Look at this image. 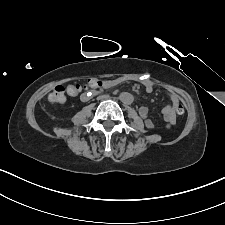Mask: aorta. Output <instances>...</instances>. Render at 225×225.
<instances>
[{
    "label": "aorta",
    "mask_w": 225,
    "mask_h": 225,
    "mask_svg": "<svg viewBox=\"0 0 225 225\" xmlns=\"http://www.w3.org/2000/svg\"><path fill=\"white\" fill-rule=\"evenodd\" d=\"M120 100L124 103V104H131L134 100V97L132 94L128 93V92H123L120 94Z\"/></svg>",
    "instance_id": "obj_1"
}]
</instances>
